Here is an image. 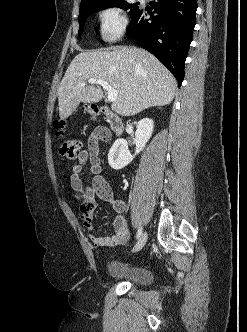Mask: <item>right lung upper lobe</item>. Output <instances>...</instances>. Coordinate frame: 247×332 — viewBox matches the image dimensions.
Wrapping results in <instances>:
<instances>
[{
  "label": "right lung upper lobe",
  "mask_w": 247,
  "mask_h": 332,
  "mask_svg": "<svg viewBox=\"0 0 247 332\" xmlns=\"http://www.w3.org/2000/svg\"><path fill=\"white\" fill-rule=\"evenodd\" d=\"M103 1H106V0H81L80 8H84V7H87V6H90V5L99 3V2H103Z\"/></svg>",
  "instance_id": "cb5924a9"
}]
</instances>
